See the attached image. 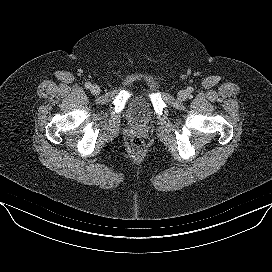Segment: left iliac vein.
<instances>
[{
    "label": "left iliac vein",
    "instance_id": "4c4485c4",
    "mask_svg": "<svg viewBox=\"0 0 272 272\" xmlns=\"http://www.w3.org/2000/svg\"><path fill=\"white\" fill-rule=\"evenodd\" d=\"M177 96L179 100L183 101L188 97V92L186 90H180Z\"/></svg>",
    "mask_w": 272,
    "mask_h": 272
}]
</instances>
